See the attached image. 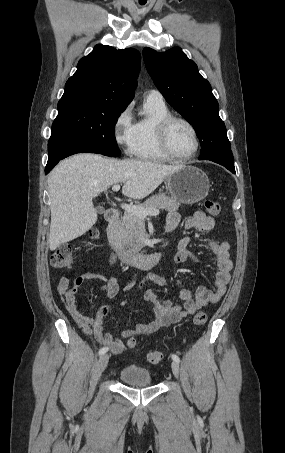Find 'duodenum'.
Wrapping results in <instances>:
<instances>
[{
	"label": "duodenum",
	"mask_w": 285,
	"mask_h": 453,
	"mask_svg": "<svg viewBox=\"0 0 285 453\" xmlns=\"http://www.w3.org/2000/svg\"><path fill=\"white\" fill-rule=\"evenodd\" d=\"M107 230L105 240L118 259L124 263L133 264L142 269H150L161 262L162 252L142 254L125 248L118 239L116 226L119 220V212L115 208H109L105 212Z\"/></svg>",
	"instance_id": "obj_1"
}]
</instances>
